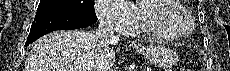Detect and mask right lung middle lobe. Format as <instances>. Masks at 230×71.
I'll return each mask as SVG.
<instances>
[{"mask_svg": "<svg viewBox=\"0 0 230 71\" xmlns=\"http://www.w3.org/2000/svg\"><path fill=\"white\" fill-rule=\"evenodd\" d=\"M46 12H74L96 18L94 0H40L36 14Z\"/></svg>", "mask_w": 230, "mask_h": 71, "instance_id": "1", "label": "right lung middle lobe"}]
</instances>
